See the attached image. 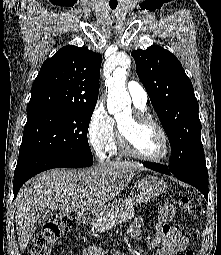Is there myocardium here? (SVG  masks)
I'll use <instances>...</instances> for the list:
<instances>
[{
	"label": "myocardium",
	"mask_w": 221,
	"mask_h": 255,
	"mask_svg": "<svg viewBox=\"0 0 221 255\" xmlns=\"http://www.w3.org/2000/svg\"><path fill=\"white\" fill-rule=\"evenodd\" d=\"M131 124L133 126L136 125H152L154 126L161 134L163 142H164V151L163 153L158 157H147L142 155L138 150L135 148L134 142L132 140L131 134L128 130H125L121 127L120 124L117 125V139L119 142V145L121 149L128 155L142 160L144 162L148 163H161L165 161L169 154H170V141L169 137L167 135L166 130L163 128V126L155 120L152 116L141 112V111H133L131 114Z\"/></svg>",
	"instance_id": "obj_1"
}]
</instances>
